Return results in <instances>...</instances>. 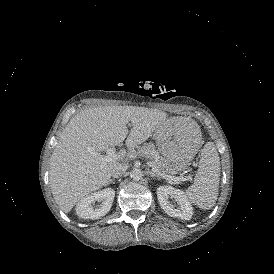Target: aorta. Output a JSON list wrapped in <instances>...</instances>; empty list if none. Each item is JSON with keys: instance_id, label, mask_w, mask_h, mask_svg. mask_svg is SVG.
Instances as JSON below:
<instances>
[{"instance_id": "1", "label": "aorta", "mask_w": 274, "mask_h": 274, "mask_svg": "<svg viewBox=\"0 0 274 274\" xmlns=\"http://www.w3.org/2000/svg\"><path fill=\"white\" fill-rule=\"evenodd\" d=\"M130 176L133 180H140L143 178V172L141 171V169L138 168H134L131 172H130Z\"/></svg>"}]
</instances>
